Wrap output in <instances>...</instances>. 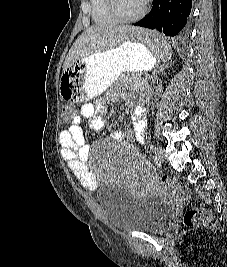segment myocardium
Masks as SVG:
<instances>
[{
    "instance_id": "f54148a6",
    "label": "myocardium",
    "mask_w": 227,
    "mask_h": 267,
    "mask_svg": "<svg viewBox=\"0 0 227 267\" xmlns=\"http://www.w3.org/2000/svg\"><path fill=\"white\" fill-rule=\"evenodd\" d=\"M118 2L119 0H107V7L111 15L119 22L131 23L138 21L148 10V2L146 0L138 13L132 16L124 15L119 9Z\"/></svg>"
}]
</instances>
